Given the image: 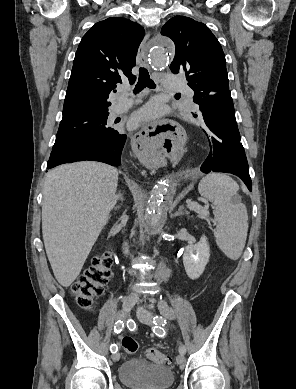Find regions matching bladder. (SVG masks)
Instances as JSON below:
<instances>
[{"label": "bladder", "mask_w": 296, "mask_h": 389, "mask_svg": "<svg viewBox=\"0 0 296 389\" xmlns=\"http://www.w3.org/2000/svg\"><path fill=\"white\" fill-rule=\"evenodd\" d=\"M118 376L131 389H167L174 381L168 367L138 359L124 361L118 369Z\"/></svg>", "instance_id": "1"}]
</instances>
